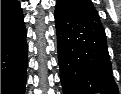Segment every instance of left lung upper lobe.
I'll use <instances>...</instances> for the list:
<instances>
[{
    "instance_id": "1",
    "label": "left lung upper lobe",
    "mask_w": 121,
    "mask_h": 94,
    "mask_svg": "<svg viewBox=\"0 0 121 94\" xmlns=\"http://www.w3.org/2000/svg\"><path fill=\"white\" fill-rule=\"evenodd\" d=\"M57 2L74 15L100 22L98 13L90 0H57Z\"/></svg>"
}]
</instances>
